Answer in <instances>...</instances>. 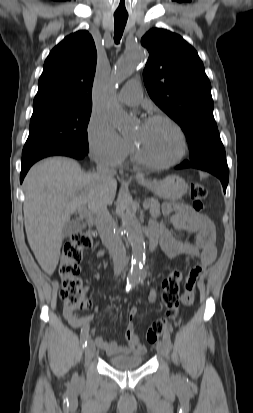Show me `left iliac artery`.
<instances>
[{"label": "left iliac artery", "instance_id": "44dca946", "mask_svg": "<svg viewBox=\"0 0 253 413\" xmlns=\"http://www.w3.org/2000/svg\"><path fill=\"white\" fill-rule=\"evenodd\" d=\"M163 342L165 343L167 347L171 346V339H170L169 331H165L163 335Z\"/></svg>", "mask_w": 253, "mask_h": 413}]
</instances>
